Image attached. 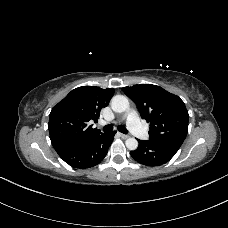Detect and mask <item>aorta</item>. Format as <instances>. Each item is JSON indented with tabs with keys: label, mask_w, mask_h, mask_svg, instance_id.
<instances>
[{
	"label": "aorta",
	"mask_w": 228,
	"mask_h": 228,
	"mask_svg": "<svg viewBox=\"0 0 228 228\" xmlns=\"http://www.w3.org/2000/svg\"><path fill=\"white\" fill-rule=\"evenodd\" d=\"M111 108L113 111L122 113L129 108V101L127 97L123 95H116L111 100ZM126 147L129 150H136L138 147V141L135 138H128L125 141Z\"/></svg>",
	"instance_id": "1"
}]
</instances>
